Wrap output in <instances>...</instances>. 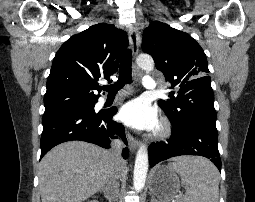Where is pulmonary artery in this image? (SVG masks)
I'll use <instances>...</instances> for the list:
<instances>
[{
	"label": "pulmonary artery",
	"mask_w": 255,
	"mask_h": 202,
	"mask_svg": "<svg viewBox=\"0 0 255 202\" xmlns=\"http://www.w3.org/2000/svg\"><path fill=\"white\" fill-rule=\"evenodd\" d=\"M143 86L147 89V90H155L156 89V86H157V83L156 81L154 80L153 77L149 76V75H146L144 78H143Z\"/></svg>",
	"instance_id": "pulmonary-artery-1"
}]
</instances>
